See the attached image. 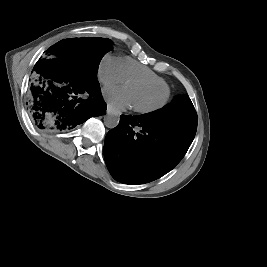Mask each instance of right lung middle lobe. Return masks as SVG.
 Segmentation results:
<instances>
[{"instance_id": "right-lung-middle-lobe-1", "label": "right lung middle lobe", "mask_w": 267, "mask_h": 267, "mask_svg": "<svg viewBox=\"0 0 267 267\" xmlns=\"http://www.w3.org/2000/svg\"><path fill=\"white\" fill-rule=\"evenodd\" d=\"M113 42L107 38L64 39L49 48L52 57L63 59L79 76L97 81V72L102 57L112 50Z\"/></svg>"}]
</instances>
